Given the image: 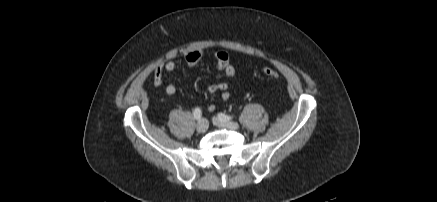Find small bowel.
I'll return each mask as SVG.
<instances>
[{"mask_svg": "<svg viewBox=\"0 0 437 202\" xmlns=\"http://www.w3.org/2000/svg\"><path fill=\"white\" fill-rule=\"evenodd\" d=\"M202 58L201 50H191L187 52L184 56V61L187 66L194 67ZM214 65L217 69L223 70L225 74L229 77L235 76V68L230 63L229 55L224 51H218L214 54ZM176 68V63L173 60H169L165 63L159 64L156 67L154 74V83L160 86L163 82L162 74L163 71L172 72ZM207 91L209 94H214L216 92H221V99L226 101L230 98L229 84L226 82H218L208 86ZM166 95L173 97L176 93V87L174 84L170 83L165 88ZM216 105L214 103L208 106L210 111L215 110Z\"/></svg>", "mask_w": 437, "mask_h": 202, "instance_id": "1", "label": "small bowel"}]
</instances>
